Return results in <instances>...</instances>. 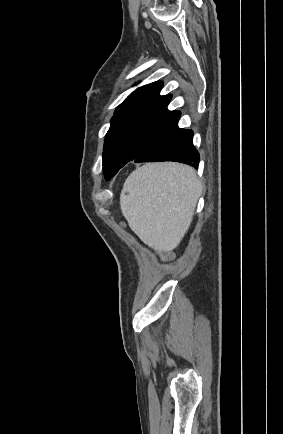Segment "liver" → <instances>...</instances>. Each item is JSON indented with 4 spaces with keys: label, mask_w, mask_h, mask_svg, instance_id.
<instances>
[{
    "label": "liver",
    "mask_w": 283,
    "mask_h": 434,
    "mask_svg": "<svg viewBox=\"0 0 283 434\" xmlns=\"http://www.w3.org/2000/svg\"><path fill=\"white\" fill-rule=\"evenodd\" d=\"M202 186L187 165L164 162L137 167L126 179L120 207L132 231L142 242L171 252L192 222Z\"/></svg>",
    "instance_id": "liver-1"
}]
</instances>
